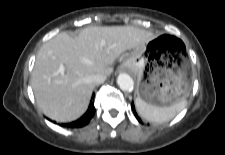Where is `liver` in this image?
<instances>
[{
  "label": "liver",
  "mask_w": 225,
  "mask_h": 155,
  "mask_svg": "<svg viewBox=\"0 0 225 155\" xmlns=\"http://www.w3.org/2000/svg\"><path fill=\"white\" fill-rule=\"evenodd\" d=\"M155 35L133 26H92L72 38L62 32L38 51L31 77L36 103L57 122H70L87 110L96 74L110 75L125 51L144 49Z\"/></svg>",
  "instance_id": "1"
}]
</instances>
